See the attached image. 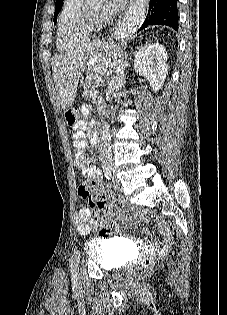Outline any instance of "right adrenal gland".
<instances>
[{"mask_svg": "<svg viewBox=\"0 0 227 315\" xmlns=\"http://www.w3.org/2000/svg\"><path fill=\"white\" fill-rule=\"evenodd\" d=\"M125 66H126V67L129 66L128 59H127V55L125 56Z\"/></svg>", "mask_w": 227, "mask_h": 315, "instance_id": "right-adrenal-gland-1", "label": "right adrenal gland"}]
</instances>
